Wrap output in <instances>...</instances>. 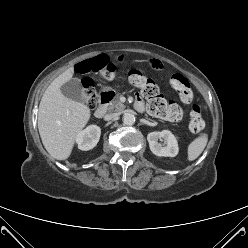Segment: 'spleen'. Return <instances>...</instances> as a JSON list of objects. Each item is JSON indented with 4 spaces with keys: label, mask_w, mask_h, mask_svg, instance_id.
<instances>
[{
    "label": "spleen",
    "mask_w": 248,
    "mask_h": 248,
    "mask_svg": "<svg viewBox=\"0 0 248 248\" xmlns=\"http://www.w3.org/2000/svg\"><path fill=\"white\" fill-rule=\"evenodd\" d=\"M208 142V135L206 133H201L196 137L188 146L187 149V159L188 161H193L200 156V154L205 149Z\"/></svg>",
    "instance_id": "3e777b00"
}]
</instances>
